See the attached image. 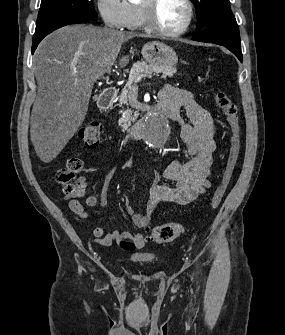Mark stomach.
<instances>
[{"mask_svg":"<svg viewBox=\"0 0 285 335\" xmlns=\"http://www.w3.org/2000/svg\"><path fill=\"white\" fill-rule=\"evenodd\" d=\"M141 54L145 62H148V64H157V66H169V68H173L178 62L177 54L173 48L162 44V42H148V44H144Z\"/></svg>","mask_w":285,"mask_h":335,"instance_id":"obj_1","label":"stomach"}]
</instances>
